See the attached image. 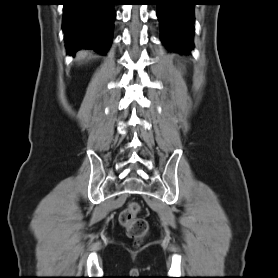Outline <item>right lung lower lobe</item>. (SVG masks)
<instances>
[{
  "label": "right lung lower lobe",
  "mask_w": 278,
  "mask_h": 278,
  "mask_svg": "<svg viewBox=\"0 0 278 278\" xmlns=\"http://www.w3.org/2000/svg\"><path fill=\"white\" fill-rule=\"evenodd\" d=\"M63 1V32L68 53L88 48L104 54L112 41L114 0Z\"/></svg>",
  "instance_id": "right-lung-lower-lobe-1"
}]
</instances>
